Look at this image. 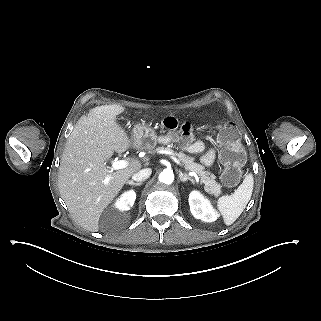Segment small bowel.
<instances>
[{"label":"small bowel","instance_id":"small-bowel-1","mask_svg":"<svg viewBox=\"0 0 321 321\" xmlns=\"http://www.w3.org/2000/svg\"><path fill=\"white\" fill-rule=\"evenodd\" d=\"M187 149L189 152L198 153V152L203 151L204 145L202 144V142L196 141V142L191 143L187 147ZM214 158H215V150H210L209 152H207L204 155L202 161L205 165H210L214 161Z\"/></svg>","mask_w":321,"mask_h":321}]
</instances>
